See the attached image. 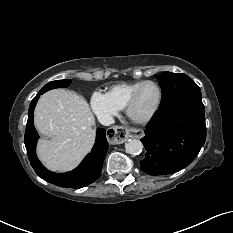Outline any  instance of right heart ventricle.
Listing matches in <instances>:
<instances>
[{
    "label": "right heart ventricle",
    "instance_id": "right-heart-ventricle-1",
    "mask_svg": "<svg viewBox=\"0 0 233 233\" xmlns=\"http://www.w3.org/2000/svg\"><path fill=\"white\" fill-rule=\"evenodd\" d=\"M143 82L144 81L121 82L112 85L107 89L106 95L119 109H123L125 108L131 94Z\"/></svg>",
    "mask_w": 233,
    "mask_h": 233
}]
</instances>
